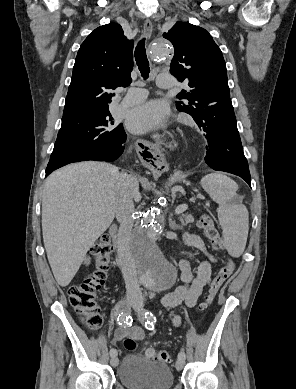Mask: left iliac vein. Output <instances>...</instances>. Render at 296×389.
Masks as SVG:
<instances>
[{"label": "left iliac vein", "instance_id": "4c4485c4", "mask_svg": "<svg viewBox=\"0 0 296 389\" xmlns=\"http://www.w3.org/2000/svg\"><path fill=\"white\" fill-rule=\"evenodd\" d=\"M133 308L135 311H137L139 318L141 320H143V303L141 301H137L136 303L133 304ZM184 364H185L184 359H178L176 361V364H175L176 369L178 371L182 370L184 367Z\"/></svg>", "mask_w": 296, "mask_h": 389}]
</instances>
